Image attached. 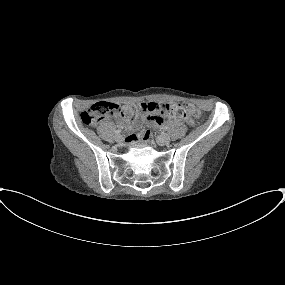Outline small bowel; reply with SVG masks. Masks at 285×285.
Segmentation results:
<instances>
[{
  "mask_svg": "<svg viewBox=\"0 0 285 285\" xmlns=\"http://www.w3.org/2000/svg\"><path fill=\"white\" fill-rule=\"evenodd\" d=\"M140 105H144L148 109V113L142 117L141 119H137L134 122L127 123V122H121L120 127L124 129H132L134 127L141 128L144 120H148L150 124H153L155 126H160L166 121V117L168 116V109L171 105L167 102H155V101H149L146 103H142ZM177 123L185 122L188 125H193V120L190 118H175L174 119ZM142 135L144 137H148L149 134L147 132H142Z\"/></svg>",
  "mask_w": 285,
  "mask_h": 285,
  "instance_id": "obj_1",
  "label": "small bowel"
}]
</instances>
